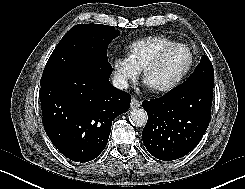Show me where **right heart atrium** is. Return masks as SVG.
Here are the masks:
<instances>
[{
	"label": "right heart atrium",
	"instance_id": "d8ad5b80",
	"mask_svg": "<svg viewBox=\"0 0 245 189\" xmlns=\"http://www.w3.org/2000/svg\"><path fill=\"white\" fill-rule=\"evenodd\" d=\"M111 68L117 85L122 89L127 88L139 74L126 56L116 57L111 63Z\"/></svg>",
	"mask_w": 245,
	"mask_h": 189
}]
</instances>
